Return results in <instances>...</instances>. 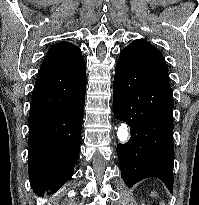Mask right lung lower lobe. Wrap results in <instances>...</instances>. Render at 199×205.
<instances>
[{"instance_id": "98d812e1", "label": "right lung lower lobe", "mask_w": 199, "mask_h": 205, "mask_svg": "<svg viewBox=\"0 0 199 205\" xmlns=\"http://www.w3.org/2000/svg\"><path fill=\"white\" fill-rule=\"evenodd\" d=\"M86 71L59 89L36 80L29 112L28 171L37 195L56 192L73 174L80 149Z\"/></svg>"}]
</instances>
